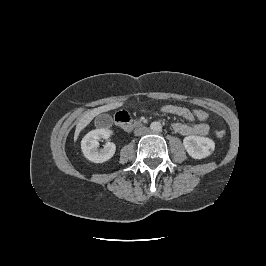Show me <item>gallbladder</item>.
<instances>
[{"label":"gallbladder","instance_id":"bac80fb5","mask_svg":"<svg viewBox=\"0 0 266 266\" xmlns=\"http://www.w3.org/2000/svg\"><path fill=\"white\" fill-rule=\"evenodd\" d=\"M113 122V119L110 115L108 114H103V115H100L98 116L96 119H95V123L99 126L101 125H111Z\"/></svg>","mask_w":266,"mask_h":266}]
</instances>
